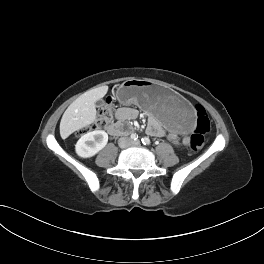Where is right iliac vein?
<instances>
[{
  "mask_svg": "<svg viewBox=\"0 0 264 264\" xmlns=\"http://www.w3.org/2000/svg\"><path fill=\"white\" fill-rule=\"evenodd\" d=\"M130 144L128 139L123 140L122 145L127 147Z\"/></svg>",
  "mask_w": 264,
  "mask_h": 264,
  "instance_id": "1",
  "label": "right iliac vein"
}]
</instances>
